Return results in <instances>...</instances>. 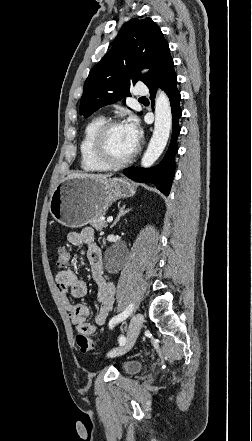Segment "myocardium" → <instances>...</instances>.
Masks as SVG:
<instances>
[{
  "instance_id": "obj_1",
  "label": "myocardium",
  "mask_w": 252,
  "mask_h": 441,
  "mask_svg": "<svg viewBox=\"0 0 252 441\" xmlns=\"http://www.w3.org/2000/svg\"><path fill=\"white\" fill-rule=\"evenodd\" d=\"M124 125L121 120L108 119L105 120L95 131L91 141V152L94 158L104 165L107 169H120L128 165L136 154V149L132 153L120 161H113L109 158L105 149V138L107 133L114 127Z\"/></svg>"
}]
</instances>
